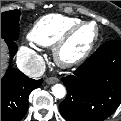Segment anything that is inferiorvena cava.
Listing matches in <instances>:
<instances>
[{
	"label": "inferior vena cava",
	"instance_id": "1",
	"mask_svg": "<svg viewBox=\"0 0 121 121\" xmlns=\"http://www.w3.org/2000/svg\"><path fill=\"white\" fill-rule=\"evenodd\" d=\"M18 68L27 76L37 78L45 72V61L41 56H35L28 64H18Z\"/></svg>",
	"mask_w": 121,
	"mask_h": 121
}]
</instances>
